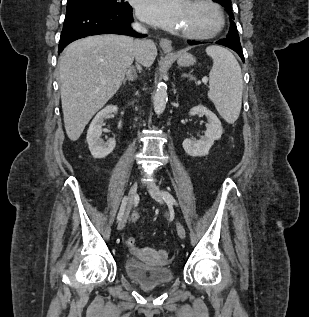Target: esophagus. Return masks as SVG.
Wrapping results in <instances>:
<instances>
[{
  "label": "esophagus",
  "mask_w": 309,
  "mask_h": 317,
  "mask_svg": "<svg viewBox=\"0 0 309 317\" xmlns=\"http://www.w3.org/2000/svg\"><path fill=\"white\" fill-rule=\"evenodd\" d=\"M160 47L163 49L164 52H171L172 51V43L167 38H161L159 41Z\"/></svg>",
  "instance_id": "1"
}]
</instances>
